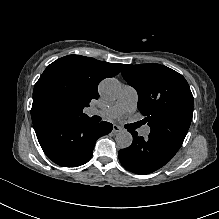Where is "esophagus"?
<instances>
[{
  "instance_id": "obj_1",
  "label": "esophagus",
  "mask_w": 219,
  "mask_h": 219,
  "mask_svg": "<svg viewBox=\"0 0 219 219\" xmlns=\"http://www.w3.org/2000/svg\"><path fill=\"white\" fill-rule=\"evenodd\" d=\"M122 130L123 129L120 126L113 125V130H112L113 133H118V132H121Z\"/></svg>"
}]
</instances>
